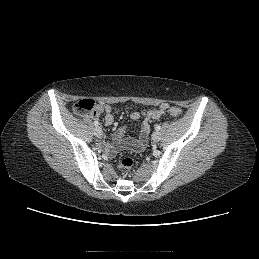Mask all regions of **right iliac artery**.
I'll return each instance as SVG.
<instances>
[{"instance_id":"right-iliac-artery-1","label":"right iliac artery","mask_w":259,"mask_h":259,"mask_svg":"<svg viewBox=\"0 0 259 259\" xmlns=\"http://www.w3.org/2000/svg\"><path fill=\"white\" fill-rule=\"evenodd\" d=\"M94 125L97 127L99 123L97 121H94Z\"/></svg>"}]
</instances>
